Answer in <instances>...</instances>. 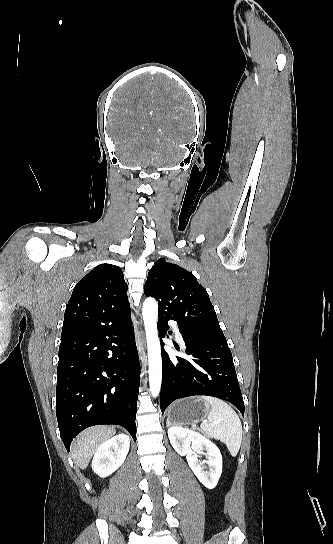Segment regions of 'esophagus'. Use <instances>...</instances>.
<instances>
[{"mask_svg": "<svg viewBox=\"0 0 333 544\" xmlns=\"http://www.w3.org/2000/svg\"><path fill=\"white\" fill-rule=\"evenodd\" d=\"M136 344H137V347H138V351L139 353H143L144 352V336L143 335H138L136 337Z\"/></svg>", "mask_w": 333, "mask_h": 544, "instance_id": "esophagus-1", "label": "esophagus"}]
</instances>
